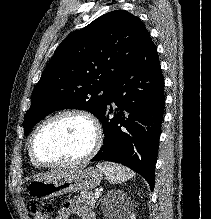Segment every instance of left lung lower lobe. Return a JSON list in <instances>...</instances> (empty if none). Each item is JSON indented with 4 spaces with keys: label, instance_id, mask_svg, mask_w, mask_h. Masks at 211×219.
Wrapping results in <instances>:
<instances>
[{
    "label": "left lung lower lobe",
    "instance_id": "0a47b994",
    "mask_svg": "<svg viewBox=\"0 0 211 219\" xmlns=\"http://www.w3.org/2000/svg\"><path fill=\"white\" fill-rule=\"evenodd\" d=\"M112 102L117 110L109 118ZM164 104V80L156 46L149 37L108 94L98 117L105 135L103 146L91 161L123 164L142 175L153 190Z\"/></svg>",
    "mask_w": 211,
    "mask_h": 219
}]
</instances>
